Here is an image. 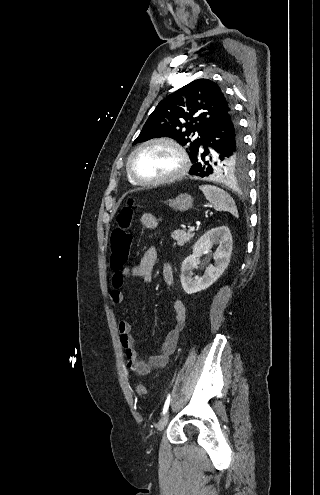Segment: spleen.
Wrapping results in <instances>:
<instances>
[{"label": "spleen", "instance_id": "spleen-1", "mask_svg": "<svg viewBox=\"0 0 320 495\" xmlns=\"http://www.w3.org/2000/svg\"><path fill=\"white\" fill-rule=\"evenodd\" d=\"M200 190L216 211H226L238 217L235 202L227 192L212 185H202L200 186Z\"/></svg>", "mask_w": 320, "mask_h": 495}]
</instances>
